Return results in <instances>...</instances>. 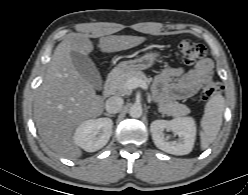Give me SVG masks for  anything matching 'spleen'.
Returning a JSON list of instances; mask_svg holds the SVG:
<instances>
[{
  "label": "spleen",
  "instance_id": "3e777b00",
  "mask_svg": "<svg viewBox=\"0 0 248 195\" xmlns=\"http://www.w3.org/2000/svg\"><path fill=\"white\" fill-rule=\"evenodd\" d=\"M225 108V99L222 95H215L205 105L201 119L200 131L201 149H207L216 139L222 125V116Z\"/></svg>",
  "mask_w": 248,
  "mask_h": 195
}]
</instances>
